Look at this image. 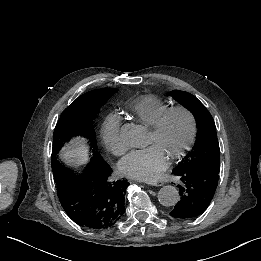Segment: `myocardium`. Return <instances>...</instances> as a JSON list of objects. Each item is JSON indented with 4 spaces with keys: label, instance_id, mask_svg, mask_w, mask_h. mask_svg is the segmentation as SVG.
I'll list each match as a JSON object with an SVG mask.
<instances>
[{
    "label": "myocardium",
    "instance_id": "1",
    "mask_svg": "<svg viewBox=\"0 0 261 261\" xmlns=\"http://www.w3.org/2000/svg\"><path fill=\"white\" fill-rule=\"evenodd\" d=\"M174 113H181L187 117L190 124V130L189 135L182 147L169 156L168 160L170 162L184 157L195 144L198 135V121L195 114L189 108L182 105L169 106L167 109L161 112L156 117V119L148 125V127L153 132H158L163 127L164 123L169 118V116H171Z\"/></svg>",
    "mask_w": 261,
    "mask_h": 261
}]
</instances>
